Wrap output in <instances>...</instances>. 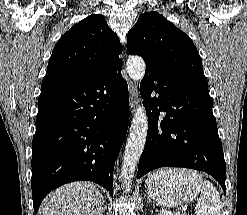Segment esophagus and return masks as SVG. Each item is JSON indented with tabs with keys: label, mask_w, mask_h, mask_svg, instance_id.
I'll return each instance as SVG.
<instances>
[{
	"label": "esophagus",
	"mask_w": 247,
	"mask_h": 215,
	"mask_svg": "<svg viewBox=\"0 0 247 215\" xmlns=\"http://www.w3.org/2000/svg\"><path fill=\"white\" fill-rule=\"evenodd\" d=\"M129 92L131 95V106L134 107L136 103V99L138 97V93H137V86L135 85V83L131 81L129 82Z\"/></svg>",
	"instance_id": "obj_1"
}]
</instances>
